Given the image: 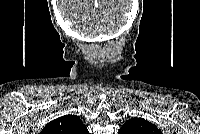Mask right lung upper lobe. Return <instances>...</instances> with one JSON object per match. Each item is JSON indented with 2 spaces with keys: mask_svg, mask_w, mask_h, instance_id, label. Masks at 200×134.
Returning <instances> with one entry per match:
<instances>
[{
  "mask_svg": "<svg viewBox=\"0 0 200 134\" xmlns=\"http://www.w3.org/2000/svg\"><path fill=\"white\" fill-rule=\"evenodd\" d=\"M86 126L76 115H65L48 123L43 134H86Z\"/></svg>",
  "mask_w": 200,
  "mask_h": 134,
  "instance_id": "1",
  "label": "right lung upper lobe"
}]
</instances>
